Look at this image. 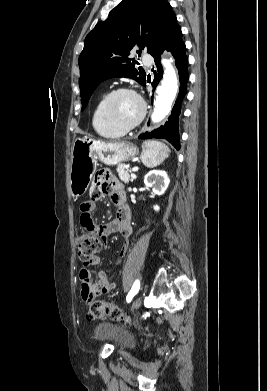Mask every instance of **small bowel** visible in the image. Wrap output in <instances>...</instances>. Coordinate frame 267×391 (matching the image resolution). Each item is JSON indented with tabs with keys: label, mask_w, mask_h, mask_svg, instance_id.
Returning a JSON list of instances; mask_svg holds the SVG:
<instances>
[{
	"label": "small bowel",
	"mask_w": 267,
	"mask_h": 391,
	"mask_svg": "<svg viewBox=\"0 0 267 391\" xmlns=\"http://www.w3.org/2000/svg\"><path fill=\"white\" fill-rule=\"evenodd\" d=\"M90 200L80 205V224L87 232L99 236L106 241L108 236L119 233L125 238L120 250L118 262H120L130 247V239L133 234L131 227V213L125 200V193L120 182L107 169H99L93 176L89 191ZM104 196H108L116 206V216L111 222L97 225L92 217L95 202ZM101 260L95 256L91 262L80 270V295L84 302L90 303L96 297L111 292L116 284L108 280L103 271H98L95 278L92 277L90 267L99 266Z\"/></svg>",
	"instance_id": "small-bowel-1"
}]
</instances>
